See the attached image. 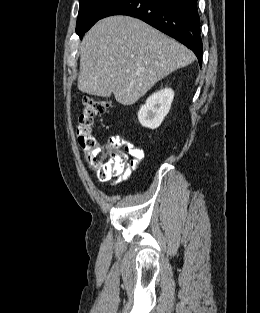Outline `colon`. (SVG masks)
I'll return each instance as SVG.
<instances>
[{"mask_svg":"<svg viewBox=\"0 0 260 313\" xmlns=\"http://www.w3.org/2000/svg\"><path fill=\"white\" fill-rule=\"evenodd\" d=\"M110 106L107 99L86 96L75 128L84 161L102 181L124 173L128 165V152L133 148L131 144L117 137L102 144L93 132L94 119L104 114Z\"/></svg>","mask_w":260,"mask_h":313,"instance_id":"1","label":"colon"}]
</instances>
